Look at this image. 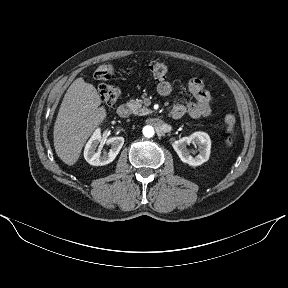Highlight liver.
Returning <instances> with one entry per match:
<instances>
[{
	"mask_svg": "<svg viewBox=\"0 0 288 288\" xmlns=\"http://www.w3.org/2000/svg\"><path fill=\"white\" fill-rule=\"evenodd\" d=\"M96 88L77 78L68 88L54 125V147L58 157L67 165H74L82 148L106 118Z\"/></svg>",
	"mask_w": 288,
	"mask_h": 288,
	"instance_id": "liver-1",
	"label": "liver"
}]
</instances>
